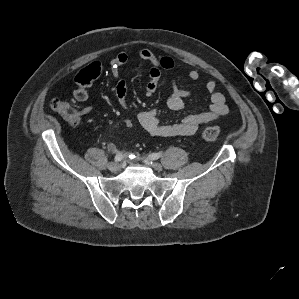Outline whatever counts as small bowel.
I'll return each instance as SVG.
<instances>
[{"label": "small bowel", "instance_id": "small-bowel-1", "mask_svg": "<svg viewBox=\"0 0 299 299\" xmlns=\"http://www.w3.org/2000/svg\"><path fill=\"white\" fill-rule=\"evenodd\" d=\"M138 57L150 64L149 82L145 88L147 96L153 95L161 77L162 70H171L175 62L170 56H157L149 49L138 51ZM130 54L126 51L120 52L111 61V73L114 77L119 78L121 68L128 62ZM101 73V65L98 62L91 63L82 69L76 77L77 89L74 91V98L78 102H84L88 99V88L93 80L98 78ZM192 80H198L200 74L193 69L189 72ZM207 92L210 93V105L207 110L186 116L177 123H164L160 120L159 112L156 109L141 111L138 116V122L149 134L158 137H177L194 135L202 124L211 122L221 116L228 114L229 108L226 104L225 96L216 92V83L208 81L205 85ZM117 100L122 108H127V85L125 80L119 79L115 87ZM191 95L187 89L180 88L177 84L173 85V90L167 99V105L171 110L179 111L185 106L186 99ZM90 108H85L88 112ZM110 151H115L113 143L108 144Z\"/></svg>", "mask_w": 299, "mask_h": 299}]
</instances>
